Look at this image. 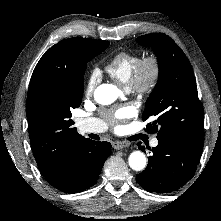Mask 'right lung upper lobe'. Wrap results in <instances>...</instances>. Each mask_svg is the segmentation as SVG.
I'll use <instances>...</instances> for the list:
<instances>
[{
    "mask_svg": "<svg viewBox=\"0 0 221 221\" xmlns=\"http://www.w3.org/2000/svg\"><path fill=\"white\" fill-rule=\"evenodd\" d=\"M86 40L70 38L48 49L37 63L30 80L26 101L29 137L38 168L46 180L58 175L64 156L85 138L78 134L69 117L62 114L50 118L42 116L39 102L63 75L77 69V53Z\"/></svg>",
    "mask_w": 221,
    "mask_h": 221,
    "instance_id": "obj_1",
    "label": "right lung upper lobe"
}]
</instances>
